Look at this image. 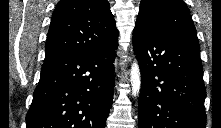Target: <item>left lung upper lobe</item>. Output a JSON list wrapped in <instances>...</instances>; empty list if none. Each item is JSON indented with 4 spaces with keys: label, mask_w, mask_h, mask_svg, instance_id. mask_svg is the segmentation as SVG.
<instances>
[{
    "label": "left lung upper lobe",
    "mask_w": 221,
    "mask_h": 128,
    "mask_svg": "<svg viewBox=\"0 0 221 128\" xmlns=\"http://www.w3.org/2000/svg\"><path fill=\"white\" fill-rule=\"evenodd\" d=\"M135 28L170 36L200 50L189 9L182 0H141Z\"/></svg>",
    "instance_id": "obj_1"
}]
</instances>
